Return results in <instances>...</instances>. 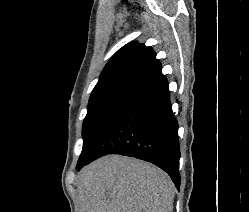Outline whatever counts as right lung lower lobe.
<instances>
[{"mask_svg": "<svg viewBox=\"0 0 249 212\" xmlns=\"http://www.w3.org/2000/svg\"><path fill=\"white\" fill-rule=\"evenodd\" d=\"M168 82L141 94L107 127L80 170L107 154H121L155 164L179 189L178 123L169 99Z\"/></svg>", "mask_w": 249, "mask_h": 212, "instance_id": "right-lung-lower-lobe-1", "label": "right lung lower lobe"}]
</instances>
